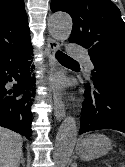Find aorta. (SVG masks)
<instances>
[{"instance_id": "762f6f07", "label": "aorta", "mask_w": 125, "mask_h": 167, "mask_svg": "<svg viewBox=\"0 0 125 167\" xmlns=\"http://www.w3.org/2000/svg\"><path fill=\"white\" fill-rule=\"evenodd\" d=\"M48 29L51 36L58 40L68 39L72 30V19L65 13L52 14L48 19ZM78 133V127L73 117L64 119L56 136L53 160L56 167H66L70 161Z\"/></svg>"}]
</instances>
